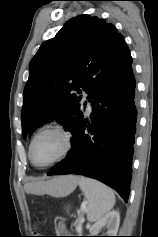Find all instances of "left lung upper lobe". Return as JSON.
Instances as JSON below:
<instances>
[{
  "mask_svg": "<svg viewBox=\"0 0 158 237\" xmlns=\"http://www.w3.org/2000/svg\"><path fill=\"white\" fill-rule=\"evenodd\" d=\"M131 63L114 25L89 15L69 20L30 62L21 113L23 137L54 119L73 134L83 119L81 97L75 91L83 89L92 99Z\"/></svg>",
  "mask_w": 158,
  "mask_h": 237,
  "instance_id": "obj_1",
  "label": "left lung upper lobe"
}]
</instances>
